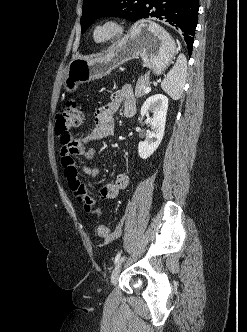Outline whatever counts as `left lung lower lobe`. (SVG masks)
Instances as JSON below:
<instances>
[{
  "label": "left lung lower lobe",
  "mask_w": 247,
  "mask_h": 332,
  "mask_svg": "<svg viewBox=\"0 0 247 332\" xmlns=\"http://www.w3.org/2000/svg\"><path fill=\"white\" fill-rule=\"evenodd\" d=\"M199 0H147L139 19L155 17L181 31L189 53L192 52L198 23Z\"/></svg>",
  "instance_id": "0a47b994"
}]
</instances>
